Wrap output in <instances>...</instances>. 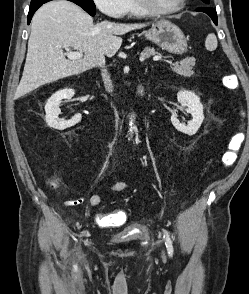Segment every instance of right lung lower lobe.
<instances>
[{
    "label": "right lung lower lobe",
    "mask_w": 249,
    "mask_h": 294,
    "mask_svg": "<svg viewBox=\"0 0 249 294\" xmlns=\"http://www.w3.org/2000/svg\"><path fill=\"white\" fill-rule=\"evenodd\" d=\"M46 3V2H45ZM43 3H40V4H37V5H34V6H30V9H29V13H28V24L30 23L31 19H32V16L33 14L35 13V11L42 5Z\"/></svg>",
    "instance_id": "1"
}]
</instances>
